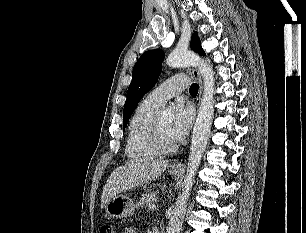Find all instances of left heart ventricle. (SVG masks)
Instances as JSON below:
<instances>
[{
	"mask_svg": "<svg viewBox=\"0 0 306 233\" xmlns=\"http://www.w3.org/2000/svg\"><path fill=\"white\" fill-rule=\"evenodd\" d=\"M156 123H157V127H158L159 133H160L163 141L166 144H173L174 142L169 137L170 121L163 120V121H157Z\"/></svg>",
	"mask_w": 306,
	"mask_h": 233,
	"instance_id": "obj_1",
	"label": "left heart ventricle"
}]
</instances>
